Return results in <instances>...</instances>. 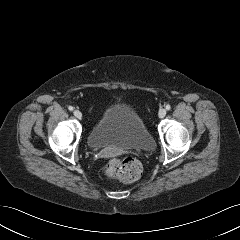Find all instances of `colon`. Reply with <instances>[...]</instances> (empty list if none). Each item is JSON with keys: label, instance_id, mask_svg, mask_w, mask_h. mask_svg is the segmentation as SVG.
<instances>
[{"label": "colon", "instance_id": "obj_1", "mask_svg": "<svg viewBox=\"0 0 240 240\" xmlns=\"http://www.w3.org/2000/svg\"><path fill=\"white\" fill-rule=\"evenodd\" d=\"M104 172L106 177L111 180L132 183L140 178L142 167L134 158H115L106 164Z\"/></svg>", "mask_w": 240, "mask_h": 240}]
</instances>
